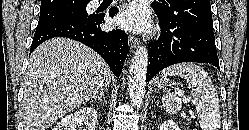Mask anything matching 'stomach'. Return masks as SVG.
<instances>
[{"label":"stomach","mask_w":249,"mask_h":130,"mask_svg":"<svg viewBox=\"0 0 249 130\" xmlns=\"http://www.w3.org/2000/svg\"><path fill=\"white\" fill-rule=\"evenodd\" d=\"M175 82L170 79L169 76H162L160 75L158 78L155 80V87L156 88H167L174 84Z\"/></svg>","instance_id":"stomach-1"}]
</instances>
